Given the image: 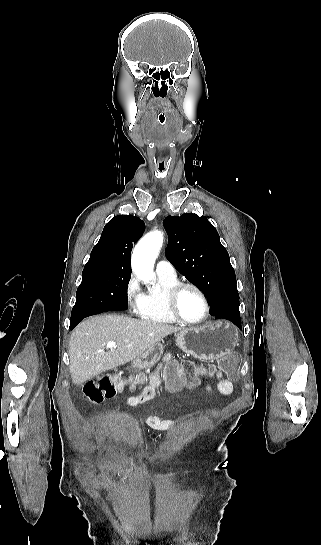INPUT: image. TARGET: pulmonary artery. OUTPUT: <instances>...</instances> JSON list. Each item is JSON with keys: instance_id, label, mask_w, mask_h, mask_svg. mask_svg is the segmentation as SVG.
Instances as JSON below:
<instances>
[{"instance_id": "1", "label": "pulmonary artery", "mask_w": 321, "mask_h": 545, "mask_svg": "<svg viewBox=\"0 0 321 545\" xmlns=\"http://www.w3.org/2000/svg\"><path fill=\"white\" fill-rule=\"evenodd\" d=\"M156 271L158 275H161L164 277H168V278L177 277V272L175 267L173 266L172 263L167 261L165 258H162L161 260L158 261L156 265Z\"/></svg>"}]
</instances>
